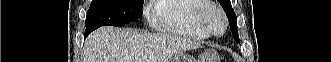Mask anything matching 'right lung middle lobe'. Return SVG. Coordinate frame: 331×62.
Here are the masks:
<instances>
[{
    "label": "right lung middle lobe",
    "mask_w": 331,
    "mask_h": 62,
    "mask_svg": "<svg viewBox=\"0 0 331 62\" xmlns=\"http://www.w3.org/2000/svg\"><path fill=\"white\" fill-rule=\"evenodd\" d=\"M141 0H93L87 12L85 36L104 26H120L142 16Z\"/></svg>",
    "instance_id": "right-lung-middle-lobe-1"
}]
</instances>
